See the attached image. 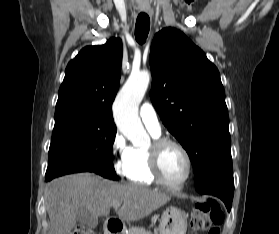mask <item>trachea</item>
Wrapping results in <instances>:
<instances>
[{
  "label": "trachea",
  "mask_w": 279,
  "mask_h": 234,
  "mask_svg": "<svg viewBox=\"0 0 279 234\" xmlns=\"http://www.w3.org/2000/svg\"><path fill=\"white\" fill-rule=\"evenodd\" d=\"M150 29V19L146 13H140L136 20L135 38L139 44H144Z\"/></svg>",
  "instance_id": "obj_1"
}]
</instances>
